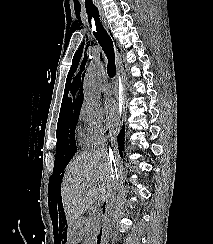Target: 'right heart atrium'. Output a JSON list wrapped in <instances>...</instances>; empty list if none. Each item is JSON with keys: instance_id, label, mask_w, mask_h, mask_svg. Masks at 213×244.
I'll return each instance as SVG.
<instances>
[{"instance_id": "d8ad5b80", "label": "right heart atrium", "mask_w": 213, "mask_h": 244, "mask_svg": "<svg viewBox=\"0 0 213 244\" xmlns=\"http://www.w3.org/2000/svg\"><path fill=\"white\" fill-rule=\"evenodd\" d=\"M80 120L83 124V141L86 145H97L104 142L111 132L105 122L102 110L95 105L84 103L80 110Z\"/></svg>"}]
</instances>
